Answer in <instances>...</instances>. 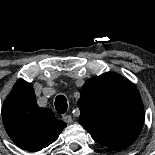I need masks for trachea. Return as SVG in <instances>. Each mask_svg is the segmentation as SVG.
Listing matches in <instances>:
<instances>
[{
    "label": "trachea",
    "mask_w": 155,
    "mask_h": 155,
    "mask_svg": "<svg viewBox=\"0 0 155 155\" xmlns=\"http://www.w3.org/2000/svg\"><path fill=\"white\" fill-rule=\"evenodd\" d=\"M55 108L59 114H63L67 110V100L65 96L58 95L55 99Z\"/></svg>",
    "instance_id": "1"
}]
</instances>
